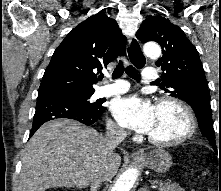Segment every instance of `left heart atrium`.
<instances>
[{
    "instance_id": "1",
    "label": "left heart atrium",
    "mask_w": 221,
    "mask_h": 191,
    "mask_svg": "<svg viewBox=\"0 0 221 191\" xmlns=\"http://www.w3.org/2000/svg\"><path fill=\"white\" fill-rule=\"evenodd\" d=\"M112 112L121 125L145 134L150 133L157 117V108L137 94L117 99Z\"/></svg>"
}]
</instances>
